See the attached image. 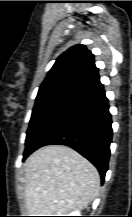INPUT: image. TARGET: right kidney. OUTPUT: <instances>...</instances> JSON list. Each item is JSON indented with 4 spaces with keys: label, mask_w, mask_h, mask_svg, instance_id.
Returning a JSON list of instances; mask_svg holds the SVG:
<instances>
[{
    "label": "right kidney",
    "mask_w": 132,
    "mask_h": 217,
    "mask_svg": "<svg viewBox=\"0 0 132 217\" xmlns=\"http://www.w3.org/2000/svg\"><path fill=\"white\" fill-rule=\"evenodd\" d=\"M74 214H70L71 216H80L79 212H73Z\"/></svg>",
    "instance_id": "obj_1"
}]
</instances>
